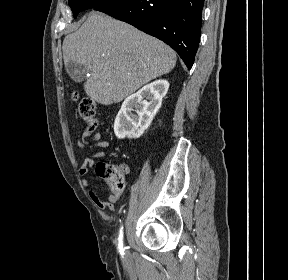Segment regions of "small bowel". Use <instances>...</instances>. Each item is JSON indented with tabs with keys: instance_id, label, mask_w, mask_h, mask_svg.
<instances>
[{
	"instance_id": "obj_1",
	"label": "small bowel",
	"mask_w": 288,
	"mask_h": 280,
	"mask_svg": "<svg viewBox=\"0 0 288 280\" xmlns=\"http://www.w3.org/2000/svg\"><path fill=\"white\" fill-rule=\"evenodd\" d=\"M91 137V138H90ZM77 144L80 149L84 150L87 146L91 148L98 149L92 152L81 164L79 168V174L85 176L88 174L89 169L95 165L96 158H104L106 156L105 149L109 147V142L103 140L99 132H94L90 130H85L81 136L78 137ZM124 175L128 172V167L126 165L121 166ZM85 187H88V194L92 202L101 210H112L114 203L118 199L116 195H109L107 201H103L99 198L95 190L90 187L89 182L86 179L82 180Z\"/></svg>"
}]
</instances>
